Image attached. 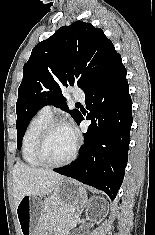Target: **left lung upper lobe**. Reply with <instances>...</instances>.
<instances>
[{
	"label": "left lung upper lobe",
	"mask_w": 155,
	"mask_h": 235,
	"mask_svg": "<svg viewBox=\"0 0 155 235\" xmlns=\"http://www.w3.org/2000/svg\"><path fill=\"white\" fill-rule=\"evenodd\" d=\"M118 57L102 29L82 21L62 26L37 44L24 65L18 89L17 148L30 120L45 105L64 109L77 122L81 113L68 109L61 89L77 84L86 93Z\"/></svg>",
	"instance_id": "1"
}]
</instances>
